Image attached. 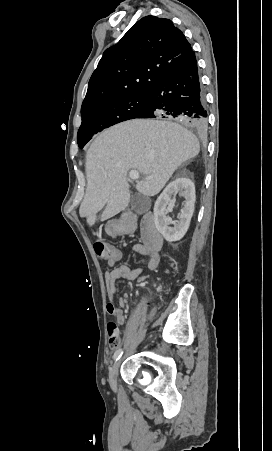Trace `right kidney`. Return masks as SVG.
Returning <instances> with one entry per match:
<instances>
[{"instance_id": "right-kidney-1", "label": "right kidney", "mask_w": 272, "mask_h": 451, "mask_svg": "<svg viewBox=\"0 0 272 451\" xmlns=\"http://www.w3.org/2000/svg\"><path fill=\"white\" fill-rule=\"evenodd\" d=\"M176 194L181 196V198H185V200L184 208H182L177 222H173L169 216H166L169 212L166 208L168 206L172 210V202L175 200L173 196H176ZM195 200V186L189 178H176L174 182L166 186L165 190L157 198L154 206L155 226L167 241H178L185 235L193 216Z\"/></svg>"}]
</instances>
